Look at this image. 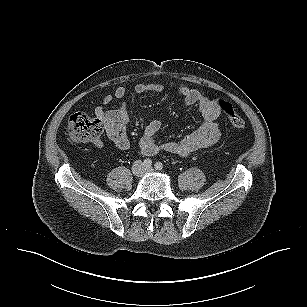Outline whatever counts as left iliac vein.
I'll list each match as a JSON object with an SVG mask.
<instances>
[{"instance_id":"4c4485c4","label":"left iliac vein","mask_w":307,"mask_h":307,"mask_svg":"<svg viewBox=\"0 0 307 307\" xmlns=\"http://www.w3.org/2000/svg\"><path fill=\"white\" fill-rule=\"evenodd\" d=\"M153 171H154V169L152 167H149V168L146 169V172H149V173L153 172Z\"/></svg>"}]
</instances>
